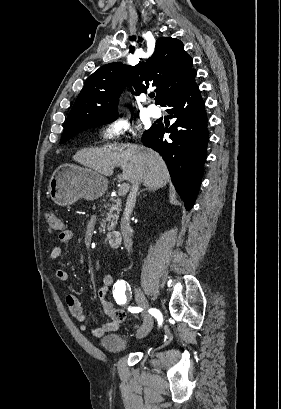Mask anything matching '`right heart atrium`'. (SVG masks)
I'll return each instance as SVG.
<instances>
[{
  "instance_id": "d8ad5b80",
  "label": "right heart atrium",
  "mask_w": 281,
  "mask_h": 409,
  "mask_svg": "<svg viewBox=\"0 0 281 409\" xmlns=\"http://www.w3.org/2000/svg\"><path fill=\"white\" fill-rule=\"evenodd\" d=\"M133 125L125 115H118L105 124L99 131L103 141L118 140L125 132H131Z\"/></svg>"
}]
</instances>
